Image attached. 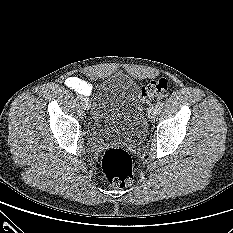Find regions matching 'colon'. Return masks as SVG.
Listing matches in <instances>:
<instances>
[{
  "label": "colon",
  "mask_w": 233,
  "mask_h": 233,
  "mask_svg": "<svg viewBox=\"0 0 233 233\" xmlns=\"http://www.w3.org/2000/svg\"><path fill=\"white\" fill-rule=\"evenodd\" d=\"M168 88L166 78L151 81L141 89L144 101L151 102L160 98ZM101 168L108 183L114 188H125L133 180V163L130 155L123 149L107 150L101 161Z\"/></svg>",
  "instance_id": "obj_1"
}]
</instances>
